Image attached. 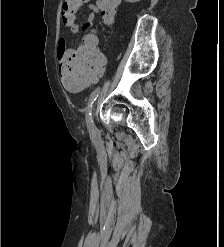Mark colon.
Segmentation results:
<instances>
[{
    "label": "colon",
    "instance_id": "1",
    "mask_svg": "<svg viewBox=\"0 0 224 247\" xmlns=\"http://www.w3.org/2000/svg\"><path fill=\"white\" fill-rule=\"evenodd\" d=\"M120 0H97V6L106 22H110L117 11ZM82 0H64L61 6L63 25L76 22ZM104 72V62L98 51L97 39L87 35L76 55L60 64V74L66 88L77 90L97 80Z\"/></svg>",
    "mask_w": 224,
    "mask_h": 247
}]
</instances>
